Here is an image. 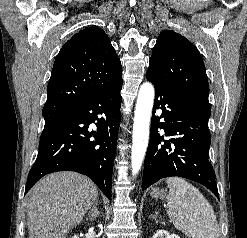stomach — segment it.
Returning <instances> with one entry per match:
<instances>
[{
    "label": "stomach",
    "instance_id": "1",
    "mask_svg": "<svg viewBox=\"0 0 247 238\" xmlns=\"http://www.w3.org/2000/svg\"><path fill=\"white\" fill-rule=\"evenodd\" d=\"M150 195L154 199H164L167 197V193L165 189H160V188H153L150 192Z\"/></svg>",
    "mask_w": 247,
    "mask_h": 238
}]
</instances>
